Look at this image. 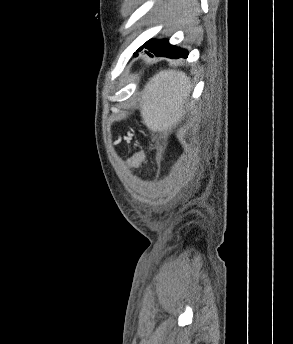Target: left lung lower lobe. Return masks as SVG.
I'll list each match as a JSON object with an SVG mask.
<instances>
[{
	"label": "left lung lower lobe",
	"instance_id": "0a47b994",
	"mask_svg": "<svg viewBox=\"0 0 293 344\" xmlns=\"http://www.w3.org/2000/svg\"><path fill=\"white\" fill-rule=\"evenodd\" d=\"M145 48H147L155 56H163V57L175 58V59L187 58L188 56L187 50L178 48L174 45H170L169 43L162 44V45H146ZM148 55L152 56L150 53H148Z\"/></svg>",
	"mask_w": 293,
	"mask_h": 344
}]
</instances>
